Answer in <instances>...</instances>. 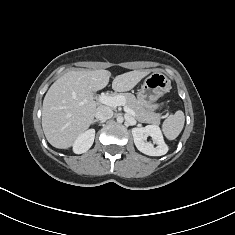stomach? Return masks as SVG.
I'll list each match as a JSON object with an SVG mask.
<instances>
[{
  "mask_svg": "<svg viewBox=\"0 0 235 235\" xmlns=\"http://www.w3.org/2000/svg\"><path fill=\"white\" fill-rule=\"evenodd\" d=\"M171 88V81L162 72H154L148 76L137 93L138 101L151 111L159 108L156 101L168 92Z\"/></svg>",
  "mask_w": 235,
  "mask_h": 235,
  "instance_id": "1",
  "label": "stomach"
}]
</instances>
